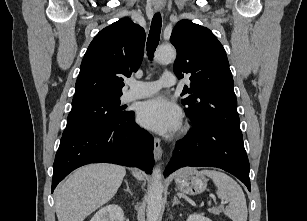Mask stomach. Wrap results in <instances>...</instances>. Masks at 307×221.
I'll return each instance as SVG.
<instances>
[{"label":"stomach","mask_w":307,"mask_h":221,"mask_svg":"<svg viewBox=\"0 0 307 221\" xmlns=\"http://www.w3.org/2000/svg\"><path fill=\"white\" fill-rule=\"evenodd\" d=\"M205 175L193 168H184L176 174L175 182L180 191L189 195H197L207 187Z\"/></svg>","instance_id":"0dacf381"}]
</instances>
